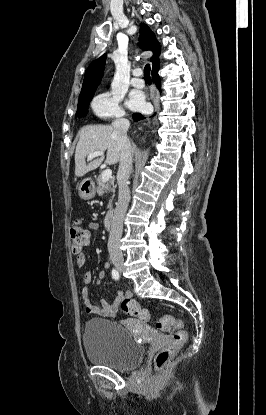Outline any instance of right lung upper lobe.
I'll use <instances>...</instances> for the list:
<instances>
[{
  "instance_id": "1",
  "label": "right lung upper lobe",
  "mask_w": 266,
  "mask_h": 415,
  "mask_svg": "<svg viewBox=\"0 0 266 415\" xmlns=\"http://www.w3.org/2000/svg\"><path fill=\"white\" fill-rule=\"evenodd\" d=\"M139 45L141 49L145 51L151 50L153 52V56L151 58L153 63L152 73L159 70L160 46L155 38L154 33L146 24L143 23L140 24ZM106 57L107 55L103 54L98 59L93 61L88 67L84 76L82 90L79 97L95 92L103 76Z\"/></svg>"
}]
</instances>
